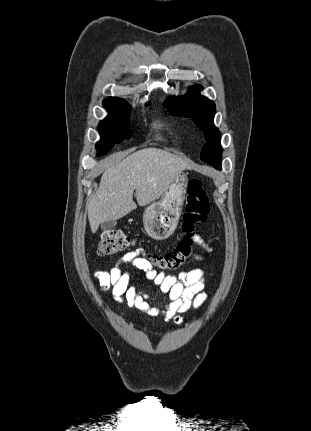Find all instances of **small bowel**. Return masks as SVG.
<instances>
[{
    "label": "small bowel",
    "mask_w": 311,
    "mask_h": 431,
    "mask_svg": "<svg viewBox=\"0 0 311 431\" xmlns=\"http://www.w3.org/2000/svg\"><path fill=\"white\" fill-rule=\"evenodd\" d=\"M195 242L210 251L201 237L197 236ZM125 264L131 265L136 272L144 273L147 279L159 286L161 292L168 297L163 307L155 305L151 295L138 291L130 284L131 273L122 268ZM204 276L205 272L200 268L182 272L177 276L157 272L147 255L141 251L126 253L109 271H97L94 274L102 290L112 289L116 302L125 303L151 317H164L166 321H173L175 324L182 323L183 313L199 308L206 300Z\"/></svg>",
    "instance_id": "small-bowel-1"
}]
</instances>
